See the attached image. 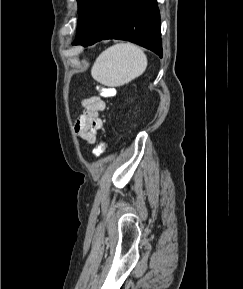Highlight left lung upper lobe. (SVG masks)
Masks as SVG:
<instances>
[{"mask_svg": "<svg viewBox=\"0 0 243 289\" xmlns=\"http://www.w3.org/2000/svg\"><path fill=\"white\" fill-rule=\"evenodd\" d=\"M77 2H78V11L80 13L86 6V4L89 2V0H77Z\"/></svg>", "mask_w": 243, "mask_h": 289, "instance_id": "obj_1", "label": "left lung upper lobe"}]
</instances>
